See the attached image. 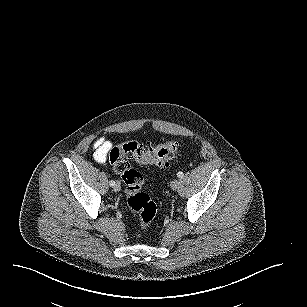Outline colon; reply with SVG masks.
<instances>
[{
  "label": "colon",
  "instance_id": "obj_1",
  "mask_svg": "<svg viewBox=\"0 0 307 307\" xmlns=\"http://www.w3.org/2000/svg\"><path fill=\"white\" fill-rule=\"evenodd\" d=\"M180 143L175 140L159 145H143L137 141L125 142L112 148L109 161L125 183L127 204L136 213L142 230H148L157 213V206L148 194L142 191L143 177L133 169L129 160L141 165L168 166L177 156Z\"/></svg>",
  "mask_w": 307,
  "mask_h": 307
}]
</instances>
